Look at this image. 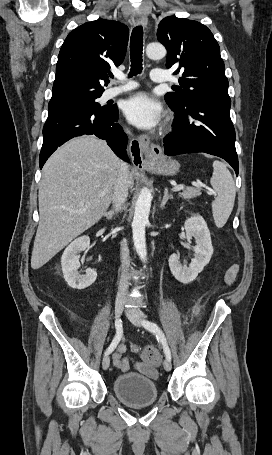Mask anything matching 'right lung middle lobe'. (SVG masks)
<instances>
[{"label": "right lung middle lobe", "instance_id": "dd1d6c3e", "mask_svg": "<svg viewBox=\"0 0 272 455\" xmlns=\"http://www.w3.org/2000/svg\"><path fill=\"white\" fill-rule=\"evenodd\" d=\"M101 94L69 98L61 101L49 102L48 116L67 110H97L109 111L111 107L101 106L97 102Z\"/></svg>", "mask_w": 272, "mask_h": 455}]
</instances>
